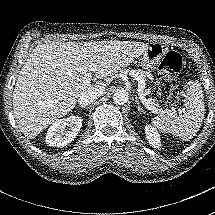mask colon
Returning a JSON list of instances; mask_svg holds the SVG:
<instances>
[{
	"label": "colon",
	"instance_id": "obj_1",
	"mask_svg": "<svg viewBox=\"0 0 215 215\" xmlns=\"http://www.w3.org/2000/svg\"><path fill=\"white\" fill-rule=\"evenodd\" d=\"M182 68V57L178 52L170 51L162 59L159 69L163 76L158 82V95L167 106H176L180 102L177 87V74Z\"/></svg>",
	"mask_w": 215,
	"mask_h": 215
}]
</instances>
